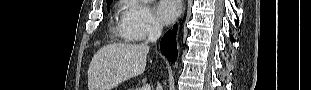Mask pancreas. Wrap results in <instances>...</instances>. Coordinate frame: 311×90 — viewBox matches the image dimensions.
Returning a JSON list of instances; mask_svg holds the SVG:
<instances>
[{"label":"pancreas","instance_id":"cf45deb5","mask_svg":"<svg viewBox=\"0 0 311 90\" xmlns=\"http://www.w3.org/2000/svg\"><path fill=\"white\" fill-rule=\"evenodd\" d=\"M141 89V88H140ZM139 88H136L135 90H140Z\"/></svg>","mask_w":311,"mask_h":90}]
</instances>
